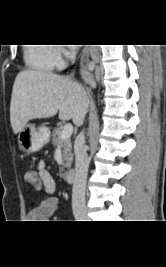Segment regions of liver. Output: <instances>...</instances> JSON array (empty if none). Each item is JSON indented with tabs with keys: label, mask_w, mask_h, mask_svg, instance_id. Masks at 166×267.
I'll list each match as a JSON object with an SVG mask.
<instances>
[{
	"label": "liver",
	"mask_w": 166,
	"mask_h": 267,
	"mask_svg": "<svg viewBox=\"0 0 166 267\" xmlns=\"http://www.w3.org/2000/svg\"><path fill=\"white\" fill-rule=\"evenodd\" d=\"M89 105L86 91L68 76L26 70L16 76L10 103V122L15 134L33 119H72L82 124Z\"/></svg>",
	"instance_id": "6515ba94"
}]
</instances>
